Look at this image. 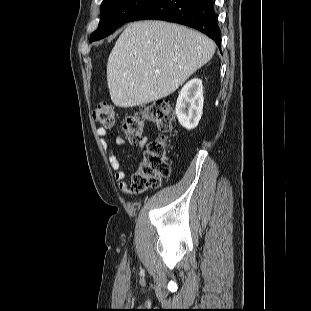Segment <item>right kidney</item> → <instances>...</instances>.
Wrapping results in <instances>:
<instances>
[{"mask_svg": "<svg viewBox=\"0 0 311 311\" xmlns=\"http://www.w3.org/2000/svg\"><path fill=\"white\" fill-rule=\"evenodd\" d=\"M203 87L198 78L188 81L178 96L175 112L179 123L186 129L197 127L202 116Z\"/></svg>", "mask_w": 311, "mask_h": 311, "instance_id": "right-kidney-1", "label": "right kidney"}]
</instances>
